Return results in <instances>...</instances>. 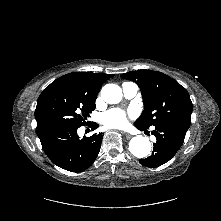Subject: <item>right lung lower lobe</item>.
<instances>
[{"instance_id": "right-lung-lower-lobe-1", "label": "right lung lower lobe", "mask_w": 221, "mask_h": 221, "mask_svg": "<svg viewBox=\"0 0 221 221\" xmlns=\"http://www.w3.org/2000/svg\"><path fill=\"white\" fill-rule=\"evenodd\" d=\"M90 126L93 130L98 128L96 123H91ZM77 129V127L59 128L39 136L49 159L71 172L89 168L98 156L102 142L101 133L80 139Z\"/></svg>"}]
</instances>
